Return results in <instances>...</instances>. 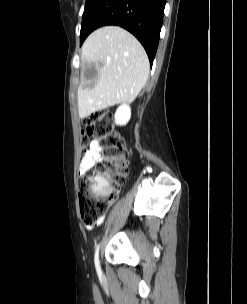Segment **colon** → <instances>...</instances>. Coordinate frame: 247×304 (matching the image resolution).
Listing matches in <instances>:
<instances>
[{
	"label": "colon",
	"mask_w": 247,
	"mask_h": 304,
	"mask_svg": "<svg viewBox=\"0 0 247 304\" xmlns=\"http://www.w3.org/2000/svg\"><path fill=\"white\" fill-rule=\"evenodd\" d=\"M91 139L99 143L103 157L92 175L85 174L79 180L81 218L87 225L96 223L116 201L128 174V150L114 129L111 112L96 111L84 120L81 136L84 152Z\"/></svg>",
	"instance_id": "obj_1"
}]
</instances>
